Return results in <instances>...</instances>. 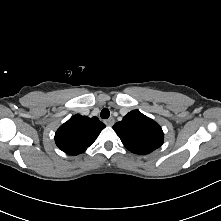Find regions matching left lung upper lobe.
Instances as JSON below:
<instances>
[{
  "label": "left lung upper lobe",
  "mask_w": 221,
  "mask_h": 221,
  "mask_svg": "<svg viewBox=\"0 0 221 221\" xmlns=\"http://www.w3.org/2000/svg\"><path fill=\"white\" fill-rule=\"evenodd\" d=\"M124 146L136 154H148L163 144L161 127L138 110L124 116L113 126Z\"/></svg>",
  "instance_id": "1"
}]
</instances>
